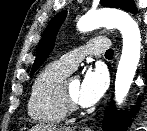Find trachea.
Wrapping results in <instances>:
<instances>
[{
  "label": "trachea",
  "instance_id": "1",
  "mask_svg": "<svg viewBox=\"0 0 147 131\" xmlns=\"http://www.w3.org/2000/svg\"><path fill=\"white\" fill-rule=\"evenodd\" d=\"M113 55H114V50H112V49L107 50L106 53H105V56L107 58H112Z\"/></svg>",
  "mask_w": 147,
  "mask_h": 131
}]
</instances>
